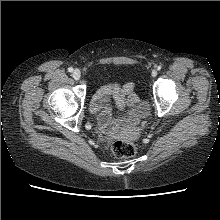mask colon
I'll use <instances>...</instances> for the list:
<instances>
[{
    "label": "colon",
    "instance_id": "1",
    "mask_svg": "<svg viewBox=\"0 0 220 220\" xmlns=\"http://www.w3.org/2000/svg\"><path fill=\"white\" fill-rule=\"evenodd\" d=\"M112 151L118 158H129L136 153V147L127 141H116L112 146Z\"/></svg>",
    "mask_w": 220,
    "mask_h": 220
}]
</instances>
